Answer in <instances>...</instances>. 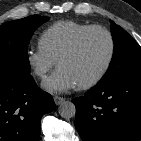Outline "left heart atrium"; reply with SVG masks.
Segmentation results:
<instances>
[{
  "label": "left heart atrium",
  "instance_id": "obj_1",
  "mask_svg": "<svg viewBox=\"0 0 141 141\" xmlns=\"http://www.w3.org/2000/svg\"><path fill=\"white\" fill-rule=\"evenodd\" d=\"M76 85L77 84L72 76L62 68H58V70L48 77L42 84L47 92L53 94L67 92Z\"/></svg>",
  "mask_w": 141,
  "mask_h": 141
}]
</instances>
